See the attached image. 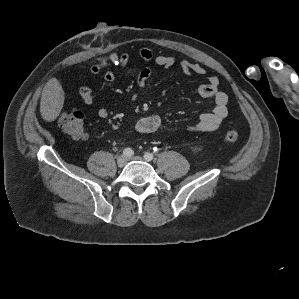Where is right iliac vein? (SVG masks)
I'll return each mask as SVG.
<instances>
[{
	"label": "right iliac vein",
	"mask_w": 299,
	"mask_h": 299,
	"mask_svg": "<svg viewBox=\"0 0 299 299\" xmlns=\"http://www.w3.org/2000/svg\"><path fill=\"white\" fill-rule=\"evenodd\" d=\"M127 163V158L126 156L124 155H120L118 158H117V165L118 167H124Z\"/></svg>",
	"instance_id": "63e3f726"
}]
</instances>
